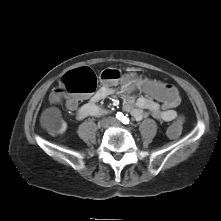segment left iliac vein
Segmentation results:
<instances>
[{"label":"left iliac vein","mask_w":221,"mask_h":221,"mask_svg":"<svg viewBox=\"0 0 221 221\" xmlns=\"http://www.w3.org/2000/svg\"><path fill=\"white\" fill-rule=\"evenodd\" d=\"M111 124L114 125V126H120V123L118 121H116V120H113L111 122Z\"/></svg>","instance_id":"4c4485c4"}]
</instances>
